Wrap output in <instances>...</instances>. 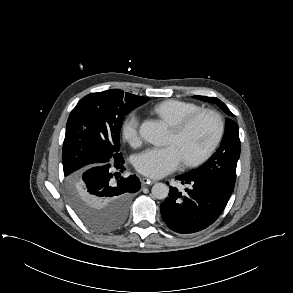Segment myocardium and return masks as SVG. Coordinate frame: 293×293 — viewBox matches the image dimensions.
<instances>
[{
    "label": "myocardium",
    "instance_id": "obj_1",
    "mask_svg": "<svg viewBox=\"0 0 293 293\" xmlns=\"http://www.w3.org/2000/svg\"><path fill=\"white\" fill-rule=\"evenodd\" d=\"M205 115L211 116L215 120L216 122L215 134L212 140L210 141V143L208 144V146L200 154L191 158L184 159V164L186 166L194 167V166L200 165L213 154V152L217 148L224 134V130H225L224 120L222 116L220 115V113L215 110L200 109L171 126V130L176 135H182L197 119Z\"/></svg>",
    "mask_w": 293,
    "mask_h": 293
}]
</instances>
